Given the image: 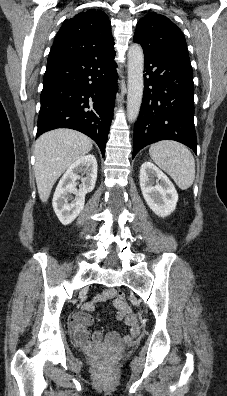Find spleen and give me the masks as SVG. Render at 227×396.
<instances>
[{
  "instance_id": "obj_1",
  "label": "spleen",
  "mask_w": 227,
  "mask_h": 396,
  "mask_svg": "<svg viewBox=\"0 0 227 396\" xmlns=\"http://www.w3.org/2000/svg\"><path fill=\"white\" fill-rule=\"evenodd\" d=\"M149 154L179 188L191 187L195 179V160L186 146L175 141H160L150 146Z\"/></svg>"
}]
</instances>
